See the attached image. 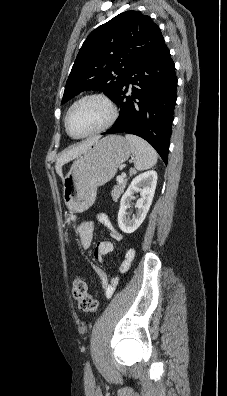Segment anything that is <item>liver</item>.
Here are the masks:
<instances>
[{
    "instance_id": "liver-1",
    "label": "liver",
    "mask_w": 227,
    "mask_h": 396,
    "mask_svg": "<svg viewBox=\"0 0 227 396\" xmlns=\"http://www.w3.org/2000/svg\"><path fill=\"white\" fill-rule=\"evenodd\" d=\"M97 140H98V138H93V139L87 140V141L79 144L78 146L64 152L58 158L56 165H55L57 174L63 179L62 166L65 163L77 158L83 151H85L90 145H92Z\"/></svg>"
}]
</instances>
